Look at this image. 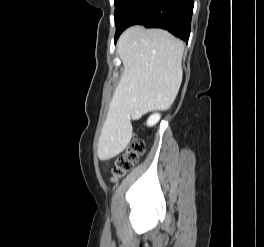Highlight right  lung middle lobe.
I'll list each match as a JSON object with an SVG mask.
<instances>
[{"instance_id": "obj_1", "label": "right lung middle lobe", "mask_w": 264, "mask_h": 247, "mask_svg": "<svg viewBox=\"0 0 264 247\" xmlns=\"http://www.w3.org/2000/svg\"><path fill=\"white\" fill-rule=\"evenodd\" d=\"M114 2H115L114 19H115V25H116L123 9L129 2V0H114Z\"/></svg>"}]
</instances>
